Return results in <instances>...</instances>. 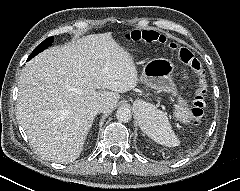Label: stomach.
<instances>
[{"mask_svg": "<svg viewBox=\"0 0 240 191\" xmlns=\"http://www.w3.org/2000/svg\"><path fill=\"white\" fill-rule=\"evenodd\" d=\"M174 68V64L168 59H150L143 66L139 81L150 88L174 93L176 89L175 83L173 82ZM144 111L145 110H138L139 123ZM174 116L184 124L190 123L192 116L188 112L187 102L182 98H179L178 103L175 105Z\"/></svg>", "mask_w": 240, "mask_h": 191, "instance_id": "0dacf381", "label": "stomach"}]
</instances>
